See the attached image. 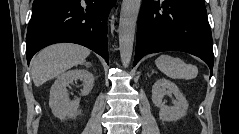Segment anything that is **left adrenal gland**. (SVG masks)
I'll list each match as a JSON object with an SVG mask.
<instances>
[{
	"label": "left adrenal gland",
	"mask_w": 239,
	"mask_h": 134,
	"mask_svg": "<svg viewBox=\"0 0 239 134\" xmlns=\"http://www.w3.org/2000/svg\"><path fill=\"white\" fill-rule=\"evenodd\" d=\"M153 73H155V71H154V70H152L151 74H153Z\"/></svg>",
	"instance_id": "left-adrenal-gland-1"
}]
</instances>
